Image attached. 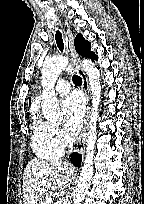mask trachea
<instances>
[{
	"label": "trachea",
	"instance_id": "3493384b",
	"mask_svg": "<svg viewBox=\"0 0 144 204\" xmlns=\"http://www.w3.org/2000/svg\"><path fill=\"white\" fill-rule=\"evenodd\" d=\"M55 40H56V43H57V46H58L59 50L63 51L64 43H63L61 32L56 31ZM72 80L77 85L82 84V79L78 75H73Z\"/></svg>",
	"mask_w": 144,
	"mask_h": 204
}]
</instances>
